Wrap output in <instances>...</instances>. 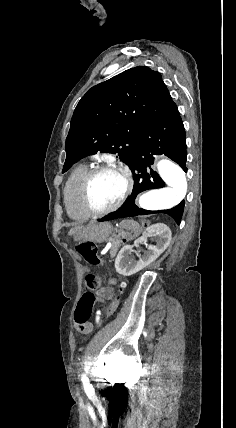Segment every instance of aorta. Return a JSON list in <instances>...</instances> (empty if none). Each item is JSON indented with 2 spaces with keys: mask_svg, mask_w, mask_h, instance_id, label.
<instances>
[{
  "mask_svg": "<svg viewBox=\"0 0 236 428\" xmlns=\"http://www.w3.org/2000/svg\"><path fill=\"white\" fill-rule=\"evenodd\" d=\"M160 177L166 186L162 189L150 190L139 198V206L145 210H167L178 205L187 192L185 172L170 160L162 159L157 163Z\"/></svg>",
  "mask_w": 236,
  "mask_h": 428,
  "instance_id": "762f6f07",
  "label": "aorta"
}]
</instances>
